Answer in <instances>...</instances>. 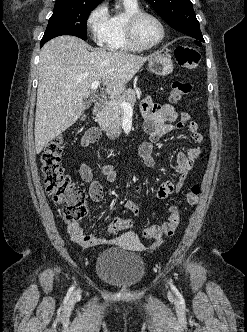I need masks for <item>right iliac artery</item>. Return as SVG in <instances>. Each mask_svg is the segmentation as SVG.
<instances>
[{"label":"right iliac artery","instance_id":"1","mask_svg":"<svg viewBox=\"0 0 247 332\" xmlns=\"http://www.w3.org/2000/svg\"><path fill=\"white\" fill-rule=\"evenodd\" d=\"M73 289H74V286H72V287L70 288L69 293H71V292L73 291Z\"/></svg>","mask_w":247,"mask_h":332}]
</instances>
